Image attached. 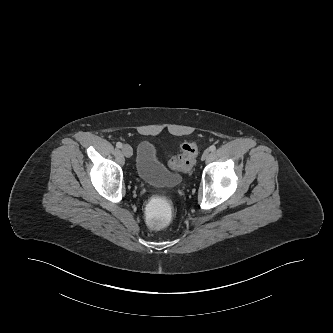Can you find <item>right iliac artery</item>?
Instances as JSON below:
<instances>
[{
	"mask_svg": "<svg viewBox=\"0 0 333 333\" xmlns=\"http://www.w3.org/2000/svg\"><path fill=\"white\" fill-rule=\"evenodd\" d=\"M116 147H117V148H122V143H121V142H117V143H116Z\"/></svg>",
	"mask_w": 333,
	"mask_h": 333,
	"instance_id": "obj_1",
	"label": "right iliac artery"
}]
</instances>
